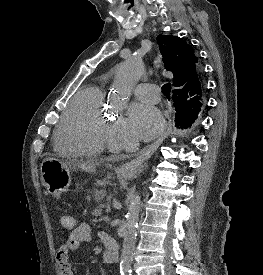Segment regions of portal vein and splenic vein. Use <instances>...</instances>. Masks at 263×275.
<instances>
[{"mask_svg": "<svg viewBox=\"0 0 263 275\" xmlns=\"http://www.w3.org/2000/svg\"><path fill=\"white\" fill-rule=\"evenodd\" d=\"M103 219H104L105 221H109V217H108V216L103 217Z\"/></svg>", "mask_w": 263, "mask_h": 275, "instance_id": "portal-vein-and-splenic-vein-1", "label": "portal vein and splenic vein"}]
</instances>
